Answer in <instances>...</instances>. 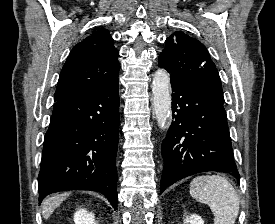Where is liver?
<instances>
[{
    "label": "liver",
    "instance_id": "obj_1",
    "mask_svg": "<svg viewBox=\"0 0 275 224\" xmlns=\"http://www.w3.org/2000/svg\"><path fill=\"white\" fill-rule=\"evenodd\" d=\"M69 196V193H63L60 195H53L46 198L42 202V215L45 219H48L52 212L57 208L65 199Z\"/></svg>",
    "mask_w": 275,
    "mask_h": 224
}]
</instances>
